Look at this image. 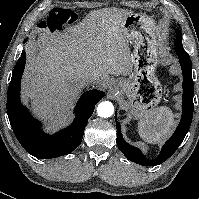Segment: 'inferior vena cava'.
<instances>
[{
	"instance_id": "602c4592",
	"label": "inferior vena cava",
	"mask_w": 199,
	"mask_h": 199,
	"mask_svg": "<svg viewBox=\"0 0 199 199\" xmlns=\"http://www.w3.org/2000/svg\"><path fill=\"white\" fill-rule=\"evenodd\" d=\"M84 85H89V84H95L96 83V78L92 76H87L82 80Z\"/></svg>"
}]
</instances>
